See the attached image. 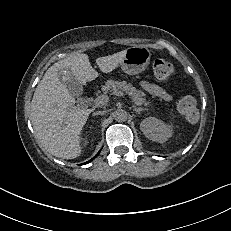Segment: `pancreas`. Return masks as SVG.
Masks as SVG:
<instances>
[{
    "mask_svg": "<svg viewBox=\"0 0 231 231\" xmlns=\"http://www.w3.org/2000/svg\"><path fill=\"white\" fill-rule=\"evenodd\" d=\"M116 90H120L126 92L131 96L132 101L137 105H145L148 106L150 103L144 97V93L140 90L136 89L131 83H127L126 81H114L107 80L105 85L102 86V91L104 94L108 92H114Z\"/></svg>",
    "mask_w": 231,
    "mask_h": 231,
    "instance_id": "pancreas-1",
    "label": "pancreas"
}]
</instances>
